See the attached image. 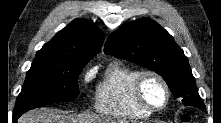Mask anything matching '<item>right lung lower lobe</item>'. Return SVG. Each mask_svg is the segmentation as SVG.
Segmentation results:
<instances>
[{
	"instance_id": "1",
	"label": "right lung lower lobe",
	"mask_w": 221,
	"mask_h": 123,
	"mask_svg": "<svg viewBox=\"0 0 221 123\" xmlns=\"http://www.w3.org/2000/svg\"><path fill=\"white\" fill-rule=\"evenodd\" d=\"M21 114H23V113H21V112L15 113V112H14V114H13V120L18 119V118L21 116Z\"/></svg>"
}]
</instances>
